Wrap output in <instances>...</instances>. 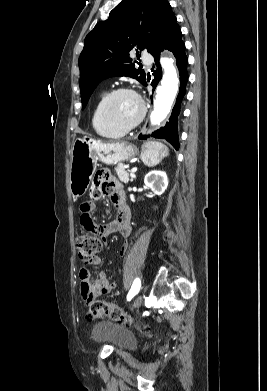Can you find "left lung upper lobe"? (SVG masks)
Masks as SVG:
<instances>
[{"label": "left lung upper lobe", "mask_w": 267, "mask_h": 391, "mask_svg": "<svg viewBox=\"0 0 267 391\" xmlns=\"http://www.w3.org/2000/svg\"><path fill=\"white\" fill-rule=\"evenodd\" d=\"M176 25L166 0H122L85 38L79 57L82 109L103 79L129 76L145 85L146 74L135 68L129 52L151 53Z\"/></svg>", "instance_id": "1"}]
</instances>
